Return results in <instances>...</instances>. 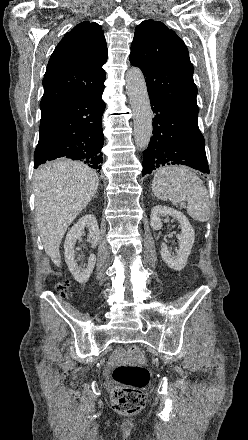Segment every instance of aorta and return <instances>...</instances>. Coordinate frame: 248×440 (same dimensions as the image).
I'll use <instances>...</instances> for the list:
<instances>
[{
    "label": "aorta",
    "mask_w": 248,
    "mask_h": 440,
    "mask_svg": "<svg viewBox=\"0 0 248 440\" xmlns=\"http://www.w3.org/2000/svg\"><path fill=\"white\" fill-rule=\"evenodd\" d=\"M126 90L134 119V138L139 150H145L152 136V111L143 73L131 68L126 73Z\"/></svg>",
    "instance_id": "1"
}]
</instances>
